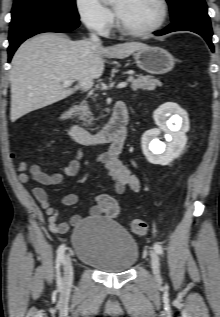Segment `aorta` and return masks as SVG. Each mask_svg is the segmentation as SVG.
I'll use <instances>...</instances> for the list:
<instances>
[{"label": "aorta", "instance_id": "762f6f07", "mask_svg": "<svg viewBox=\"0 0 220 317\" xmlns=\"http://www.w3.org/2000/svg\"><path fill=\"white\" fill-rule=\"evenodd\" d=\"M109 2H113L114 0H108Z\"/></svg>", "mask_w": 220, "mask_h": 317}]
</instances>
